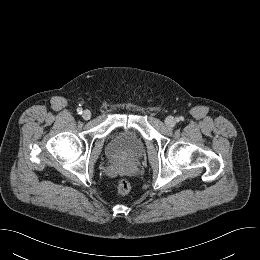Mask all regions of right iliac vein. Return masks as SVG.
I'll use <instances>...</instances> for the list:
<instances>
[{"label": "right iliac vein", "instance_id": "63e3f726", "mask_svg": "<svg viewBox=\"0 0 260 260\" xmlns=\"http://www.w3.org/2000/svg\"><path fill=\"white\" fill-rule=\"evenodd\" d=\"M82 117L85 120L90 119L91 118V112L89 110H84L83 113H82Z\"/></svg>", "mask_w": 260, "mask_h": 260}]
</instances>
